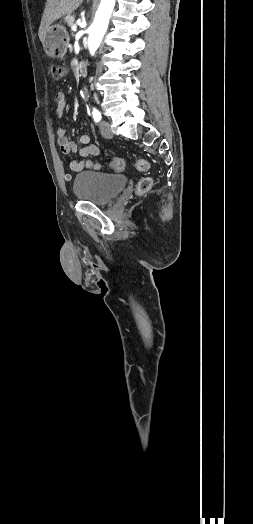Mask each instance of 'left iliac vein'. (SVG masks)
<instances>
[{"mask_svg": "<svg viewBox=\"0 0 253 524\" xmlns=\"http://www.w3.org/2000/svg\"><path fill=\"white\" fill-rule=\"evenodd\" d=\"M100 132L103 137L105 138H111L113 136L111 125L108 121L103 120L100 123Z\"/></svg>", "mask_w": 253, "mask_h": 524, "instance_id": "4c4485c4", "label": "left iliac vein"}]
</instances>
